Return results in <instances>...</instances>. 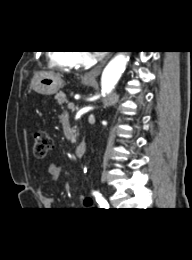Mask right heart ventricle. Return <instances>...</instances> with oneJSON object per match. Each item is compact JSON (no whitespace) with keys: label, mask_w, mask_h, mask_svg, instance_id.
Here are the masks:
<instances>
[{"label":"right heart ventricle","mask_w":192,"mask_h":260,"mask_svg":"<svg viewBox=\"0 0 192 260\" xmlns=\"http://www.w3.org/2000/svg\"><path fill=\"white\" fill-rule=\"evenodd\" d=\"M74 56L71 51H55L50 54V61L60 67L74 68L77 66Z\"/></svg>","instance_id":"e07e8e85"}]
</instances>
